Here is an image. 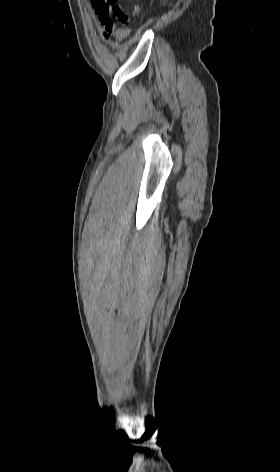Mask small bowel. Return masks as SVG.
Instances as JSON below:
<instances>
[{"mask_svg":"<svg viewBox=\"0 0 280 472\" xmlns=\"http://www.w3.org/2000/svg\"><path fill=\"white\" fill-rule=\"evenodd\" d=\"M103 36L106 40L116 39L123 41L128 37V31L125 29L117 28V26L108 23H102Z\"/></svg>","mask_w":280,"mask_h":472,"instance_id":"obj_1","label":"small bowel"}]
</instances>
